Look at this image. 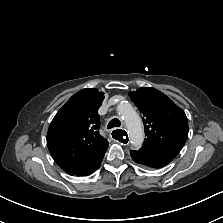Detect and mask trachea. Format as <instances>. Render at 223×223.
<instances>
[{"instance_id":"3493384b","label":"trachea","mask_w":223,"mask_h":223,"mask_svg":"<svg viewBox=\"0 0 223 223\" xmlns=\"http://www.w3.org/2000/svg\"><path fill=\"white\" fill-rule=\"evenodd\" d=\"M120 126H121V122L117 118H114L108 123L107 129H111L114 127H120Z\"/></svg>"}]
</instances>
